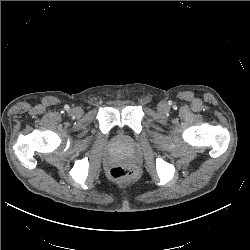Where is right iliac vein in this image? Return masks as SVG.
Segmentation results:
<instances>
[{
	"mask_svg": "<svg viewBox=\"0 0 250 250\" xmlns=\"http://www.w3.org/2000/svg\"><path fill=\"white\" fill-rule=\"evenodd\" d=\"M82 113H83V111H82V109L79 108V107L74 108V109H71V110L69 111V114H70L71 116H81Z\"/></svg>",
	"mask_w": 250,
	"mask_h": 250,
	"instance_id": "63e3f726",
	"label": "right iliac vein"
}]
</instances>
